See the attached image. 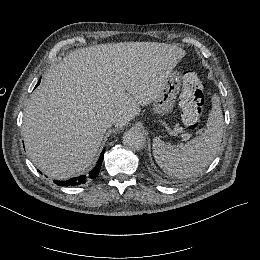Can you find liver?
I'll return each mask as SVG.
<instances>
[{"label":"liver","instance_id":"obj_1","mask_svg":"<svg viewBox=\"0 0 260 260\" xmlns=\"http://www.w3.org/2000/svg\"><path fill=\"white\" fill-rule=\"evenodd\" d=\"M182 48L158 42L99 44L70 52L31 94L23 141L32 162L58 180L93 162L107 119L122 128L161 93Z\"/></svg>","mask_w":260,"mask_h":260}]
</instances>
